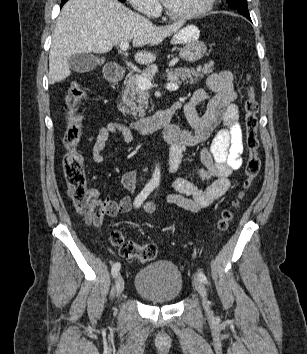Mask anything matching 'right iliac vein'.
Here are the masks:
<instances>
[{
	"instance_id": "63e3f726",
	"label": "right iliac vein",
	"mask_w": 307,
	"mask_h": 354,
	"mask_svg": "<svg viewBox=\"0 0 307 354\" xmlns=\"http://www.w3.org/2000/svg\"><path fill=\"white\" fill-rule=\"evenodd\" d=\"M124 279L123 277L119 274L116 277V281H115V289H116V294L119 297L121 295V293L124 290Z\"/></svg>"
}]
</instances>
